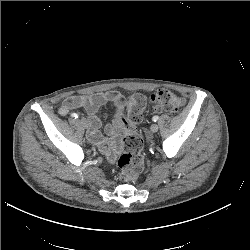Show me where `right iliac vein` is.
I'll use <instances>...</instances> for the list:
<instances>
[{
	"label": "right iliac vein",
	"instance_id": "right-iliac-vein-1",
	"mask_svg": "<svg viewBox=\"0 0 250 250\" xmlns=\"http://www.w3.org/2000/svg\"><path fill=\"white\" fill-rule=\"evenodd\" d=\"M79 122H80V124H81L84 128H88L89 122H88V120H87L86 118H81V119L79 120Z\"/></svg>",
	"mask_w": 250,
	"mask_h": 250
}]
</instances>
